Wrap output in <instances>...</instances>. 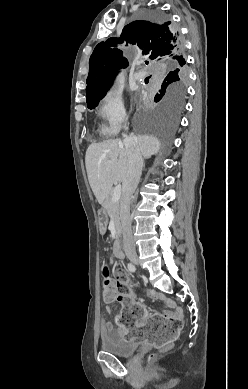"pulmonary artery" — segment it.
Returning a JSON list of instances; mask_svg holds the SVG:
<instances>
[{
	"mask_svg": "<svg viewBox=\"0 0 248 389\" xmlns=\"http://www.w3.org/2000/svg\"><path fill=\"white\" fill-rule=\"evenodd\" d=\"M143 78V73L142 72H136L134 75H133V80L135 81H139Z\"/></svg>",
	"mask_w": 248,
	"mask_h": 389,
	"instance_id": "pulmonary-artery-1",
	"label": "pulmonary artery"
}]
</instances>
